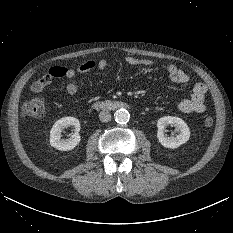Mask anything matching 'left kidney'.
<instances>
[{
    "label": "left kidney",
    "mask_w": 233,
    "mask_h": 233,
    "mask_svg": "<svg viewBox=\"0 0 233 233\" xmlns=\"http://www.w3.org/2000/svg\"><path fill=\"white\" fill-rule=\"evenodd\" d=\"M174 126L176 131L179 133L176 136H167L165 134L166 126ZM157 138L162 146L165 148L175 149L180 145L187 142L190 138V130L187 124L178 117L164 116L158 119L157 121Z\"/></svg>",
    "instance_id": "1"
}]
</instances>
